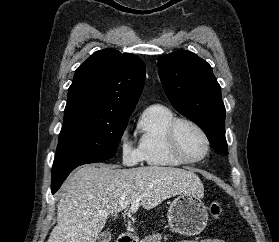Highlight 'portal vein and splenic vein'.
Returning <instances> with one entry per match:
<instances>
[{
  "label": "portal vein and splenic vein",
  "instance_id": "obj_1",
  "mask_svg": "<svg viewBox=\"0 0 279 242\" xmlns=\"http://www.w3.org/2000/svg\"><path fill=\"white\" fill-rule=\"evenodd\" d=\"M140 201H141V197H138L131 203L130 212H135L138 209L140 205ZM104 216L107 217L108 214H105Z\"/></svg>",
  "mask_w": 279,
  "mask_h": 242
}]
</instances>
